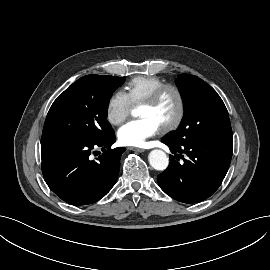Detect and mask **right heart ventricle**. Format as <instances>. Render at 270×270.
Segmentation results:
<instances>
[{
	"label": "right heart ventricle",
	"instance_id": "1",
	"mask_svg": "<svg viewBox=\"0 0 270 270\" xmlns=\"http://www.w3.org/2000/svg\"><path fill=\"white\" fill-rule=\"evenodd\" d=\"M163 84L165 81L157 76H137L127 83V94L133 104H140Z\"/></svg>",
	"mask_w": 270,
	"mask_h": 270
}]
</instances>
